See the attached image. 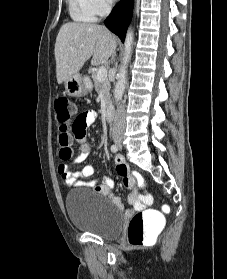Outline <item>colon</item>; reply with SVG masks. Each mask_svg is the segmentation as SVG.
I'll list each match as a JSON object with an SVG mask.
<instances>
[{
	"label": "colon",
	"mask_w": 227,
	"mask_h": 279,
	"mask_svg": "<svg viewBox=\"0 0 227 279\" xmlns=\"http://www.w3.org/2000/svg\"><path fill=\"white\" fill-rule=\"evenodd\" d=\"M56 118L59 125L58 145L60 156L68 159L72 155L73 134H80L85 131L86 115L74 117V105L67 98H58L54 102ZM119 172L126 171L125 166L119 167ZM134 183L143 186V179L134 175ZM163 217L160 213L145 209L134 214L130 221L128 230V241L133 247L141 245L152 239L161 229Z\"/></svg>",
	"instance_id": "1"
}]
</instances>
